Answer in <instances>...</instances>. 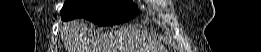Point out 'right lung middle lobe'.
<instances>
[{
  "label": "right lung middle lobe",
  "mask_w": 261,
  "mask_h": 52,
  "mask_svg": "<svg viewBox=\"0 0 261 52\" xmlns=\"http://www.w3.org/2000/svg\"><path fill=\"white\" fill-rule=\"evenodd\" d=\"M137 13L134 3L120 0H66L61 10L64 21L86 18L101 26L127 22Z\"/></svg>",
  "instance_id": "1"
}]
</instances>
